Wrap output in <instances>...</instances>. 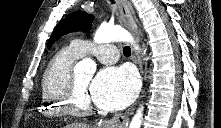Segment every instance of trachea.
Listing matches in <instances>:
<instances>
[{
	"label": "trachea",
	"mask_w": 221,
	"mask_h": 128,
	"mask_svg": "<svg viewBox=\"0 0 221 128\" xmlns=\"http://www.w3.org/2000/svg\"><path fill=\"white\" fill-rule=\"evenodd\" d=\"M113 2V0H111ZM123 53L124 55L128 56L131 54V50H130V47L126 46L123 48Z\"/></svg>",
	"instance_id": "1"
}]
</instances>
